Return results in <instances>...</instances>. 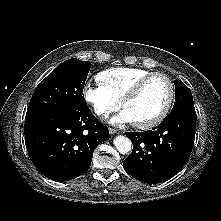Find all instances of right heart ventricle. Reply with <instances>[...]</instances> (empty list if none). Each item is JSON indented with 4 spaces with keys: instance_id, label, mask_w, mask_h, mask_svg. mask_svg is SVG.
<instances>
[{
    "instance_id": "right-heart-ventricle-1",
    "label": "right heart ventricle",
    "mask_w": 221,
    "mask_h": 221,
    "mask_svg": "<svg viewBox=\"0 0 221 221\" xmlns=\"http://www.w3.org/2000/svg\"><path fill=\"white\" fill-rule=\"evenodd\" d=\"M150 73L143 68L115 67L100 72L97 80L112 97L121 102L133 85Z\"/></svg>"
}]
</instances>
